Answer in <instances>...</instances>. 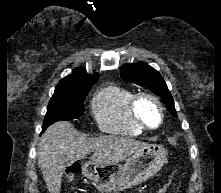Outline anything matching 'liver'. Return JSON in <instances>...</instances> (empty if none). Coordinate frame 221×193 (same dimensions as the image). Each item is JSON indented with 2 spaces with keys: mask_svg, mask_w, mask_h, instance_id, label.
Returning <instances> with one entry per match:
<instances>
[{
  "mask_svg": "<svg viewBox=\"0 0 221 193\" xmlns=\"http://www.w3.org/2000/svg\"><path fill=\"white\" fill-rule=\"evenodd\" d=\"M147 143L123 136L87 138L67 121H59L47 128L38 145V165L50 193H60L65 168L91 152V162L111 165L122 162Z\"/></svg>",
  "mask_w": 221,
  "mask_h": 193,
  "instance_id": "obj_1",
  "label": "liver"
}]
</instances>
